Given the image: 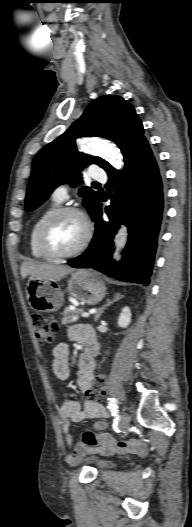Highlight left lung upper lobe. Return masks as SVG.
<instances>
[{
  "mask_svg": "<svg viewBox=\"0 0 192 527\" xmlns=\"http://www.w3.org/2000/svg\"><path fill=\"white\" fill-rule=\"evenodd\" d=\"M143 133L133 106L122 97L102 96L94 100L64 134L37 153L27 188L26 209L34 210L63 183L82 184L80 171L90 164H98L108 174L116 172L104 159L78 152L77 138L99 136L112 140L121 149L126 162L133 150L146 141ZM79 195L94 218L101 197L86 186L79 190Z\"/></svg>",
  "mask_w": 192,
  "mask_h": 527,
  "instance_id": "1",
  "label": "left lung upper lobe"
}]
</instances>
